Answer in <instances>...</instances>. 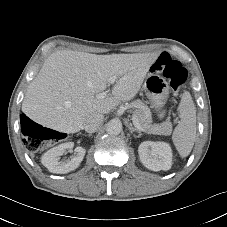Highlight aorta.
<instances>
[{
    "mask_svg": "<svg viewBox=\"0 0 227 227\" xmlns=\"http://www.w3.org/2000/svg\"><path fill=\"white\" fill-rule=\"evenodd\" d=\"M122 131V123L118 119H112L106 124V132L109 135H119Z\"/></svg>",
    "mask_w": 227,
    "mask_h": 227,
    "instance_id": "obj_1",
    "label": "aorta"
}]
</instances>
